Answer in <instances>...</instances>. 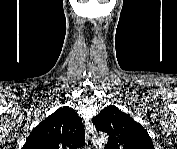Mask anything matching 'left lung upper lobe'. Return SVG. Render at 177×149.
Returning <instances> with one entry per match:
<instances>
[{
	"mask_svg": "<svg viewBox=\"0 0 177 149\" xmlns=\"http://www.w3.org/2000/svg\"><path fill=\"white\" fill-rule=\"evenodd\" d=\"M98 131L109 135L106 149H154L143 126L115 106H107L92 119Z\"/></svg>",
	"mask_w": 177,
	"mask_h": 149,
	"instance_id": "5c2ea615",
	"label": "left lung upper lobe"
}]
</instances>
